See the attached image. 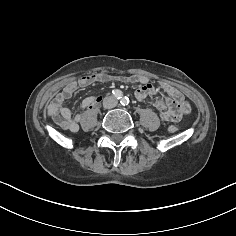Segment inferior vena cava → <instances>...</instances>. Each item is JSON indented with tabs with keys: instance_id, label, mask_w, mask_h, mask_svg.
<instances>
[{
	"instance_id": "602c4592",
	"label": "inferior vena cava",
	"mask_w": 236,
	"mask_h": 236,
	"mask_svg": "<svg viewBox=\"0 0 236 236\" xmlns=\"http://www.w3.org/2000/svg\"><path fill=\"white\" fill-rule=\"evenodd\" d=\"M117 100L113 96H107L103 100V106L104 108L111 109L114 108L117 105Z\"/></svg>"
}]
</instances>
